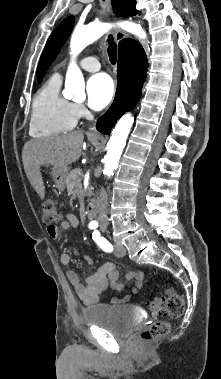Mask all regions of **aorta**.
<instances>
[{
    "instance_id": "762f6f07",
    "label": "aorta",
    "mask_w": 221,
    "mask_h": 379,
    "mask_svg": "<svg viewBox=\"0 0 221 379\" xmlns=\"http://www.w3.org/2000/svg\"><path fill=\"white\" fill-rule=\"evenodd\" d=\"M120 27L131 32L140 38H146V33L138 24L124 21ZM112 25L105 23H91L86 26H77L72 34L70 42V54L72 62L68 68L65 80L64 96L74 100H83L85 98V82L80 69L74 62L75 57L89 44L99 39L105 34ZM134 123V117L131 113L124 114L117 122L112 131L110 140L107 144V154L104 157L103 173L108 177L113 175L117 169L122 151L126 144V139Z\"/></svg>"
}]
</instances>
